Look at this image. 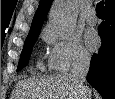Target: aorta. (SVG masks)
Masks as SVG:
<instances>
[{"label": "aorta", "mask_w": 115, "mask_h": 99, "mask_svg": "<svg viewBox=\"0 0 115 99\" xmlns=\"http://www.w3.org/2000/svg\"><path fill=\"white\" fill-rule=\"evenodd\" d=\"M77 6L70 1H56L50 13V27L60 37L69 36L76 24Z\"/></svg>", "instance_id": "obj_1"}]
</instances>
